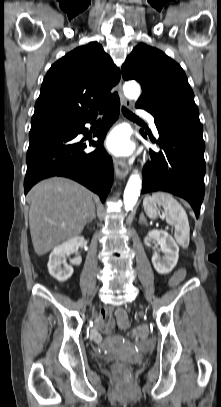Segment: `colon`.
Masks as SVG:
<instances>
[{
	"label": "colon",
	"instance_id": "obj_1",
	"mask_svg": "<svg viewBox=\"0 0 221 407\" xmlns=\"http://www.w3.org/2000/svg\"><path fill=\"white\" fill-rule=\"evenodd\" d=\"M187 268L181 265L178 270L174 272V275L170 277L171 284L169 288L174 290L176 288L175 284H183L185 282V272ZM115 324L120 330L131 329L133 323L128 320V311L126 309H119L115 315ZM132 339L136 343L142 342L146 338V332L143 329L133 330L131 333ZM113 374L119 384H125L129 381L131 370L130 367L124 363L117 362L112 367Z\"/></svg>",
	"mask_w": 221,
	"mask_h": 407
}]
</instances>
